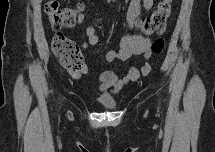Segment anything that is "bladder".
Masks as SVG:
<instances>
[{
	"label": "bladder",
	"instance_id": "1",
	"mask_svg": "<svg viewBox=\"0 0 215 152\" xmlns=\"http://www.w3.org/2000/svg\"><path fill=\"white\" fill-rule=\"evenodd\" d=\"M98 104L104 109H115L117 107V102L112 97L103 96L98 100Z\"/></svg>",
	"mask_w": 215,
	"mask_h": 152
}]
</instances>
